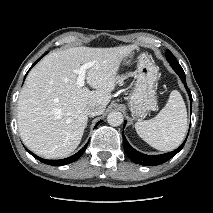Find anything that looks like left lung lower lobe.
<instances>
[{
	"mask_svg": "<svg viewBox=\"0 0 213 213\" xmlns=\"http://www.w3.org/2000/svg\"><path fill=\"white\" fill-rule=\"evenodd\" d=\"M177 74L181 78V80L187 90V93L190 98V103L192 105V96H191V92L186 84L185 73L177 72ZM125 124H126V121H125ZM186 139L182 143V145L180 147H178L176 150L169 152V153L161 154V155H145V154L138 152L137 150H135L134 148L131 147V145L128 143V141L126 140L124 135H123V147H124V150H125L127 156L136 164H140V165H144V166H155V165L163 164L164 162L168 161L173 156H175L183 148V146L186 142Z\"/></svg>",
	"mask_w": 213,
	"mask_h": 213,
	"instance_id": "left-lung-lower-lobe-1",
	"label": "left lung lower lobe"
}]
</instances>
